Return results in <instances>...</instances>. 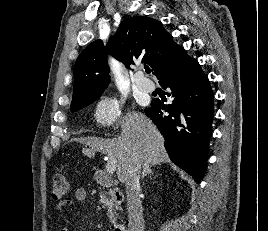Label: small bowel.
Masks as SVG:
<instances>
[{"mask_svg": "<svg viewBox=\"0 0 268 231\" xmlns=\"http://www.w3.org/2000/svg\"><path fill=\"white\" fill-rule=\"evenodd\" d=\"M73 198L76 201L82 202L85 201L87 198V191L84 187H76L73 189ZM63 205H60L62 207ZM62 231H70L68 226L62 228Z\"/></svg>", "mask_w": 268, "mask_h": 231, "instance_id": "obj_1", "label": "small bowel"}]
</instances>
